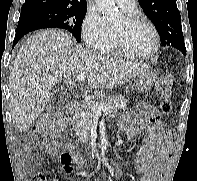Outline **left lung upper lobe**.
I'll use <instances>...</instances> for the list:
<instances>
[{
	"instance_id": "left-lung-upper-lobe-1",
	"label": "left lung upper lobe",
	"mask_w": 197,
	"mask_h": 181,
	"mask_svg": "<svg viewBox=\"0 0 197 181\" xmlns=\"http://www.w3.org/2000/svg\"><path fill=\"white\" fill-rule=\"evenodd\" d=\"M146 16L158 31L162 46L186 50L181 27V16L176 0H138Z\"/></svg>"
}]
</instances>
